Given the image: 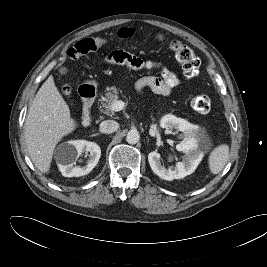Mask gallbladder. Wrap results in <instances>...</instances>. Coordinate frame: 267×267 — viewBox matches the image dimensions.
<instances>
[{
	"label": "gallbladder",
	"mask_w": 267,
	"mask_h": 267,
	"mask_svg": "<svg viewBox=\"0 0 267 267\" xmlns=\"http://www.w3.org/2000/svg\"><path fill=\"white\" fill-rule=\"evenodd\" d=\"M59 73L61 75H66L68 73V69L66 67H64V66H60L59 67Z\"/></svg>",
	"instance_id": "obj_1"
}]
</instances>
